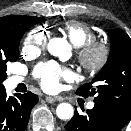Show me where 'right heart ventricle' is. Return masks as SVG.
Masks as SVG:
<instances>
[{"instance_id":"e07e8e85","label":"right heart ventricle","mask_w":131,"mask_h":131,"mask_svg":"<svg viewBox=\"0 0 131 131\" xmlns=\"http://www.w3.org/2000/svg\"><path fill=\"white\" fill-rule=\"evenodd\" d=\"M62 31L77 48L96 39V33L92 27L76 20L66 21Z\"/></svg>"}]
</instances>
